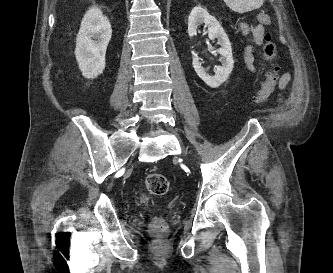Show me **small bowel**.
Segmentation results:
<instances>
[{
  "instance_id": "small-bowel-1",
  "label": "small bowel",
  "mask_w": 333,
  "mask_h": 273,
  "mask_svg": "<svg viewBox=\"0 0 333 273\" xmlns=\"http://www.w3.org/2000/svg\"><path fill=\"white\" fill-rule=\"evenodd\" d=\"M245 34L249 35L251 44L248 45L244 52V62L249 70L255 71L254 64V45H261L264 38V26L262 24H256L251 26H243ZM290 74L285 73L279 80L278 87L280 90H284L290 82Z\"/></svg>"
}]
</instances>
